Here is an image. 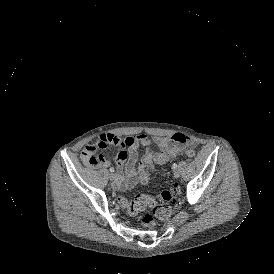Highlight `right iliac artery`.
I'll return each mask as SVG.
<instances>
[{"label": "right iliac artery", "instance_id": "obj_1", "mask_svg": "<svg viewBox=\"0 0 274 274\" xmlns=\"http://www.w3.org/2000/svg\"><path fill=\"white\" fill-rule=\"evenodd\" d=\"M109 170H110V172H114V168L113 167H111Z\"/></svg>", "mask_w": 274, "mask_h": 274}]
</instances>
